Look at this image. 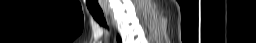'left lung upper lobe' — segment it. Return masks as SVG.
<instances>
[{
	"mask_svg": "<svg viewBox=\"0 0 256 43\" xmlns=\"http://www.w3.org/2000/svg\"><path fill=\"white\" fill-rule=\"evenodd\" d=\"M118 42L121 43V39L118 37Z\"/></svg>",
	"mask_w": 256,
	"mask_h": 43,
	"instance_id": "1",
	"label": "left lung upper lobe"
}]
</instances>
